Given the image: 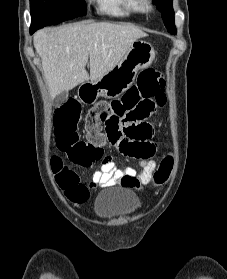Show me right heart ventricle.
I'll return each instance as SVG.
<instances>
[{"label": "right heart ventricle", "instance_id": "obj_1", "mask_svg": "<svg viewBox=\"0 0 227 279\" xmlns=\"http://www.w3.org/2000/svg\"><path fill=\"white\" fill-rule=\"evenodd\" d=\"M101 13L113 17L129 18L141 13L140 0H96Z\"/></svg>", "mask_w": 227, "mask_h": 279}]
</instances>
